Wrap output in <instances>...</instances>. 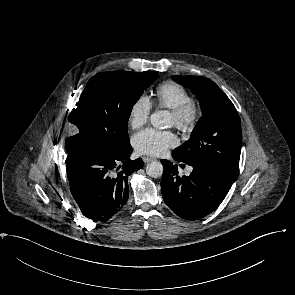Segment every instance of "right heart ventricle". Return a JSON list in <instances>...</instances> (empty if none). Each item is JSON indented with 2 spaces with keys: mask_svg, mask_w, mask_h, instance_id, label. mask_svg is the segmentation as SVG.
Wrapping results in <instances>:
<instances>
[{
  "mask_svg": "<svg viewBox=\"0 0 295 295\" xmlns=\"http://www.w3.org/2000/svg\"><path fill=\"white\" fill-rule=\"evenodd\" d=\"M156 100L161 107L174 110L192 101V97L189 91L182 85L166 81L157 86Z\"/></svg>",
  "mask_w": 295,
  "mask_h": 295,
  "instance_id": "1",
  "label": "right heart ventricle"
}]
</instances>
